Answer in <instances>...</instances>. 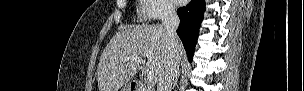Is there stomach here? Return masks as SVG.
<instances>
[{"label":"stomach","mask_w":304,"mask_h":91,"mask_svg":"<svg viewBox=\"0 0 304 91\" xmlns=\"http://www.w3.org/2000/svg\"><path fill=\"white\" fill-rule=\"evenodd\" d=\"M122 91H129V88L125 87V88L122 89Z\"/></svg>","instance_id":"1"}]
</instances>
